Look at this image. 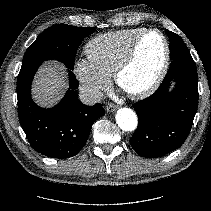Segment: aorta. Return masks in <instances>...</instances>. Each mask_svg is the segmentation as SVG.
<instances>
[{
	"label": "aorta",
	"mask_w": 211,
	"mask_h": 211,
	"mask_svg": "<svg viewBox=\"0 0 211 211\" xmlns=\"http://www.w3.org/2000/svg\"><path fill=\"white\" fill-rule=\"evenodd\" d=\"M116 122L124 131H133L138 124L137 115L130 108H120L116 113Z\"/></svg>",
	"instance_id": "1"
}]
</instances>
